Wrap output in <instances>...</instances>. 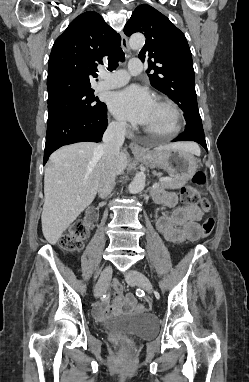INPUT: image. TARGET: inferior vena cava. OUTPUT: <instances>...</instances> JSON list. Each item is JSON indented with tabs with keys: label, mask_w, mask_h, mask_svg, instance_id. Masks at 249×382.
Listing matches in <instances>:
<instances>
[{
	"label": "inferior vena cava",
	"mask_w": 249,
	"mask_h": 382,
	"mask_svg": "<svg viewBox=\"0 0 249 382\" xmlns=\"http://www.w3.org/2000/svg\"><path fill=\"white\" fill-rule=\"evenodd\" d=\"M125 132L126 123L117 122L109 124L103 135V144L100 148L103 151L104 162L98 184V195L101 199L108 197L115 186V179L119 173L118 157L124 143Z\"/></svg>",
	"instance_id": "602c4592"
}]
</instances>
